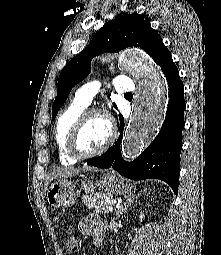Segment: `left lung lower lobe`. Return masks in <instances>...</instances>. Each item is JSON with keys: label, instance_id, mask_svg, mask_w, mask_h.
Listing matches in <instances>:
<instances>
[{"label": "left lung lower lobe", "instance_id": "1", "mask_svg": "<svg viewBox=\"0 0 221 255\" xmlns=\"http://www.w3.org/2000/svg\"><path fill=\"white\" fill-rule=\"evenodd\" d=\"M155 62L161 66L167 79L170 95L161 131L138 158L131 163L126 162L120 151L124 118L119 115L121 130L117 142L103 155L91 159L87 164L100 168L112 167L122 176L132 180L149 178L163 180L171 186L176 194L180 174L182 130L184 128V87L179 77V71L166 46L160 50Z\"/></svg>", "mask_w": 221, "mask_h": 255}]
</instances>
